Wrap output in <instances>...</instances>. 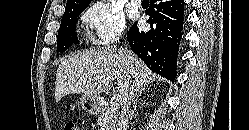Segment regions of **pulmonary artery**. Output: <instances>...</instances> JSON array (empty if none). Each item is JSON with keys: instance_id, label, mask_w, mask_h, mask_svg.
Here are the masks:
<instances>
[{"instance_id": "pulmonary-artery-1", "label": "pulmonary artery", "mask_w": 249, "mask_h": 130, "mask_svg": "<svg viewBox=\"0 0 249 130\" xmlns=\"http://www.w3.org/2000/svg\"><path fill=\"white\" fill-rule=\"evenodd\" d=\"M133 6L139 8L142 5V0H131Z\"/></svg>"}]
</instances>
